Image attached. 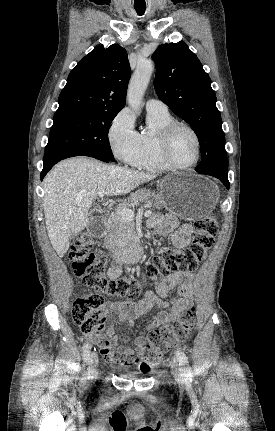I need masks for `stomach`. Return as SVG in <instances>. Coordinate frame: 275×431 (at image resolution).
Masks as SVG:
<instances>
[{
	"instance_id": "stomach-1",
	"label": "stomach",
	"mask_w": 275,
	"mask_h": 431,
	"mask_svg": "<svg viewBox=\"0 0 275 431\" xmlns=\"http://www.w3.org/2000/svg\"><path fill=\"white\" fill-rule=\"evenodd\" d=\"M164 207L185 220H196L212 213L219 199L217 186L208 178L195 174H172L158 187Z\"/></svg>"
}]
</instances>
